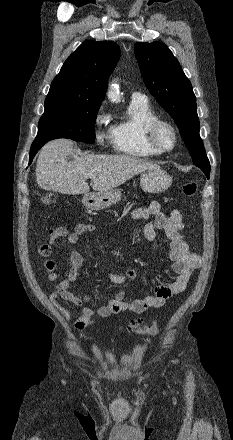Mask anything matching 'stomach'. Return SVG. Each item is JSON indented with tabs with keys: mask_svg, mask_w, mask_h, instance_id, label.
<instances>
[{
	"mask_svg": "<svg viewBox=\"0 0 233 440\" xmlns=\"http://www.w3.org/2000/svg\"><path fill=\"white\" fill-rule=\"evenodd\" d=\"M140 184L144 191L160 193L167 190L172 184L171 176L162 169L148 170L141 175ZM121 191L111 189L105 192H93L86 194L82 202L91 210H101L116 204L121 200Z\"/></svg>",
	"mask_w": 233,
	"mask_h": 440,
	"instance_id": "0dacf381",
	"label": "stomach"
}]
</instances>
